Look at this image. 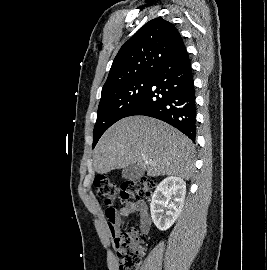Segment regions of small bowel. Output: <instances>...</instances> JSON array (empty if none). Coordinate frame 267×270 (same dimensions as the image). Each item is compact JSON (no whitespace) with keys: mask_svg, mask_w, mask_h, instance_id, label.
Returning a JSON list of instances; mask_svg holds the SVG:
<instances>
[{"mask_svg":"<svg viewBox=\"0 0 267 270\" xmlns=\"http://www.w3.org/2000/svg\"><path fill=\"white\" fill-rule=\"evenodd\" d=\"M132 214L137 215L139 218L142 232L144 234L148 233L151 220L147 205L142 201H131L124 204L120 209L114 210L113 213L105 212L107 228L113 237L119 232L122 219Z\"/></svg>","mask_w":267,"mask_h":270,"instance_id":"1","label":"small bowel"}]
</instances>
